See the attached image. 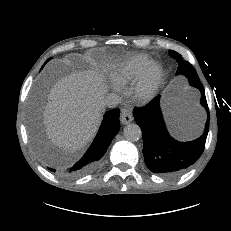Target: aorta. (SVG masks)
<instances>
[{"mask_svg": "<svg viewBox=\"0 0 231 231\" xmlns=\"http://www.w3.org/2000/svg\"><path fill=\"white\" fill-rule=\"evenodd\" d=\"M123 136L130 142H136L142 136L141 128L134 123L128 124L123 130Z\"/></svg>", "mask_w": 231, "mask_h": 231, "instance_id": "obj_1", "label": "aorta"}]
</instances>
